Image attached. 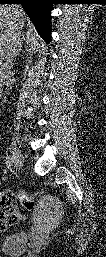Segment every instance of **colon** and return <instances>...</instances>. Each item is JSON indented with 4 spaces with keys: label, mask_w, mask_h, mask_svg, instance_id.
<instances>
[{
    "label": "colon",
    "mask_w": 106,
    "mask_h": 257,
    "mask_svg": "<svg viewBox=\"0 0 106 257\" xmlns=\"http://www.w3.org/2000/svg\"><path fill=\"white\" fill-rule=\"evenodd\" d=\"M40 197L44 204H47L50 199L48 196L44 195L42 192H37L35 194H23L21 196V204L27 209L32 210L35 207V198Z\"/></svg>",
    "instance_id": "obj_1"
}]
</instances>
